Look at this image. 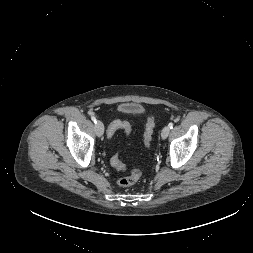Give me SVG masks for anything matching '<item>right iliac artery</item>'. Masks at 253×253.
<instances>
[{"instance_id": "obj_1", "label": "right iliac artery", "mask_w": 253, "mask_h": 253, "mask_svg": "<svg viewBox=\"0 0 253 253\" xmlns=\"http://www.w3.org/2000/svg\"><path fill=\"white\" fill-rule=\"evenodd\" d=\"M91 119L94 123H97L96 117L92 116Z\"/></svg>"}]
</instances>
